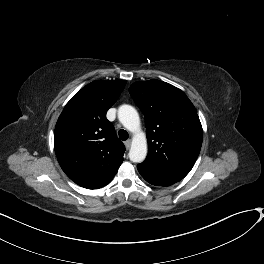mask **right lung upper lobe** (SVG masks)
I'll list each match as a JSON object with an SVG mask.
<instances>
[{"mask_svg": "<svg viewBox=\"0 0 264 264\" xmlns=\"http://www.w3.org/2000/svg\"><path fill=\"white\" fill-rule=\"evenodd\" d=\"M126 80H96L66 104L54 132V149L65 174L88 189L107 185L123 162L125 147L106 118Z\"/></svg>", "mask_w": 264, "mask_h": 264, "instance_id": "cb5924a9", "label": "right lung upper lobe"}]
</instances>
